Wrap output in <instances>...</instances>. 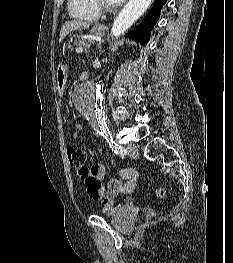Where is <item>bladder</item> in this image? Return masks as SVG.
<instances>
[{"label":"bladder","mask_w":233,"mask_h":263,"mask_svg":"<svg viewBox=\"0 0 233 263\" xmlns=\"http://www.w3.org/2000/svg\"><path fill=\"white\" fill-rule=\"evenodd\" d=\"M137 221V213L131 208H123L115 211L110 216V223L113 227L130 233Z\"/></svg>","instance_id":"31cf9c89"}]
</instances>
